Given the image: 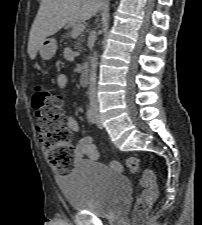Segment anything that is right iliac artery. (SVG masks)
I'll list each match as a JSON object with an SVG mask.
<instances>
[{
    "label": "right iliac artery",
    "mask_w": 202,
    "mask_h": 225,
    "mask_svg": "<svg viewBox=\"0 0 202 225\" xmlns=\"http://www.w3.org/2000/svg\"><path fill=\"white\" fill-rule=\"evenodd\" d=\"M86 118L89 123L94 124L95 123V113L92 109H89L86 113Z\"/></svg>",
    "instance_id": "right-iliac-artery-1"
}]
</instances>
